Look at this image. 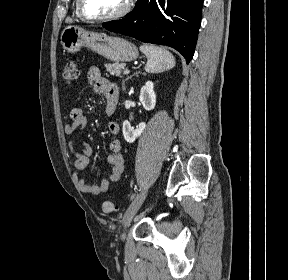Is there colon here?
<instances>
[{
    "instance_id": "1",
    "label": "colon",
    "mask_w": 288,
    "mask_h": 280,
    "mask_svg": "<svg viewBox=\"0 0 288 280\" xmlns=\"http://www.w3.org/2000/svg\"><path fill=\"white\" fill-rule=\"evenodd\" d=\"M64 78L68 82L76 81L80 77V67L75 60H69L64 68ZM102 209L105 213H110L115 210V205L111 201H105L102 205Z\"/></svg>"
}]
</instances>
